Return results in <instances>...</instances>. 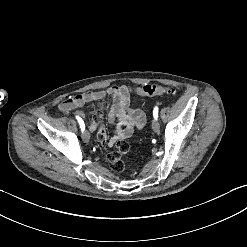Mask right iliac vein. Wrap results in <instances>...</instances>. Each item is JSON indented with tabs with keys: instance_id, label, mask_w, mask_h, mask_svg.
Returning a JSON list of instances; mask_svg holds the SVG:
<instances>
[{
	"instance_id": "1",
	"label": "right iliac vein",
	"mask_w": 247,
	"mask_h": 247,
	"mask_svg": "<svg viewBox=\"0 0 247 247\" xmlns=\"http://www.w3.org/2000/svg\"><path fill=\"white\" fill-rule=\"evenodd\" d=\"M82 138H83V141L86 143L90 141V134L87 130L82 133Z\"/></svg>"
}]
</instances>
